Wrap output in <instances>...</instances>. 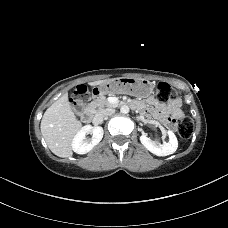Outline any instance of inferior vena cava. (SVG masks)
Segmentation results:
<instances>
[{"label":"inferior vena cava","instance_id":"602c4592","mask_svg":"<svg viewBox=\"0 0 228 228\" xmlns=\"http://www.w3.org/2000/svg\"><path fill=\"white\" fill-rule=\"evenodd\" d=\"M113 113H115V109H113V108L106 109V110H104V111L96 114L94 120L96 122H101L104 117H107L109 115H112Z\"/></svg>","mask_w":228,"mask_h":228}]
</instances>
